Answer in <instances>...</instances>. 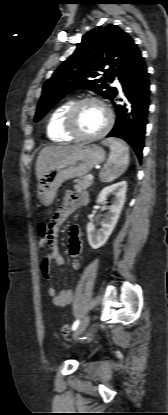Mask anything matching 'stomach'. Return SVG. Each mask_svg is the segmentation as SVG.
Wrapping results in <instances>:
<instances>
[{
  "instance_id": "obj_1",
  "label": "stomach",
  "mask_w": 168,
  "mask_h": 415,
  "mask_svg": "<svg viewBox=\"0 0 168 415\" xmlns=\"http://www.w3.org/2000/svg\"><path fill=\"white\" fill-rule=\"evenodd\" d=\"M105 160V151L95 144H83L54 162L38 183V198L44 206L52 204L58 188L67 180L82 177Z\"/></svg>"
}]
</instances>
